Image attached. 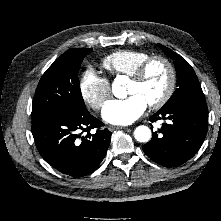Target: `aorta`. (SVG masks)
Returning <instances> with one entry per match:
<instances>
[{"instance_id": "aorta-1", "label": "aorta", "mask_w": 221, "mask_h": 221, "mask_svg": "<svg viewBox=\"0 0 221 221\" xmlns=\"http://www.w3.org/2000/svg\"><path fill=\"white\" fill-rule=\"evenodd\" d=\"M125 83L123 76H117L113 81L112 92L116 97L121 98L127 94ZM134 137L138 142H148L151 138V130L144 125L138 126L134 131Z\"/></svg>"}]
</instances>
